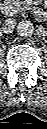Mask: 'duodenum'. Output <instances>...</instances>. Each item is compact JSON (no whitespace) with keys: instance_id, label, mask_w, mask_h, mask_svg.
I'll return each mask as SVG.
<instances>
[{"instance_id":"duodenum-1","label":"duodenum","mask_w":47,"mask_h":129,"mask_svg":"<svg viewBox=\"0 0 47 129\" xmlns=\"http://www.w3.org/2000/svg\"><path fill=\"white\" fill-rule=\"evenodd\" d=\"M1 10H2L3 14L8 17H12L16 13V9H15L14 5L8 0L2 4ZM35 15L39 19H44L46 16V13L42 9L36 8Z\"/></svg>"}]
</instances>
